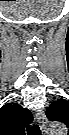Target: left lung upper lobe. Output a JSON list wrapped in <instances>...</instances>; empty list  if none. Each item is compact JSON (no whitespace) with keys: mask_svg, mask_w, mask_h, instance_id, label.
I'll return each instance as SVG.
<instances>
[{"mask_svg":"<svg viewBox=\"0 0 69 135\" xmlns=\"http://www.w3.org/2000/svg\"><path fill=\"white\" fill-rule=\"evenodd\" d=\"M46 115L51 121H62L67 123L69 120V103L64 99H60L50 104L46 110Z\"/></svg>","mask_w":69,"mask_h":135,"instance_id":"1","label":"left lung upper lobe"}]
</instances>
